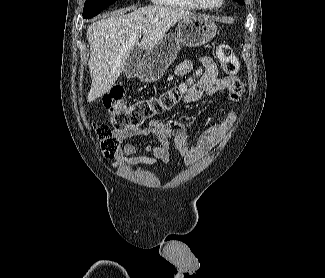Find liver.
<instances>
[{
	"label": "liver",
	"instance_id": "liver-1",
	"mask_svg": "<svg viewBox=\"0 0 325 278\" xmlns=\"http://www.w3.org/2000/svg\"><path fill=\"white\" fill-rule=\"evenodd\" d=\"M131 9L133 12L126 14ZM192 16L181 8L154 5L122 9L91 24L87 30L91 52L88 62L91 88L87 101H94L112 88L135 45L144 50L153 47L178 21ZM141 31L144 35L139 43Z\"/></svg>",
	"mask_w": 325,
	"mask_h": 278
}]
</instances>
